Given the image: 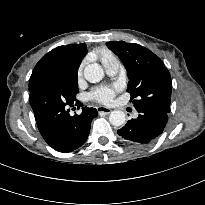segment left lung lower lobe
<instances>
[{
  "mask_svg": "<svg viewBox=\"0 0 205 205\" xmlns=\"http://www.w3.org/2000/svg\"><path fill=\"white\" fill-rule=\"evenodd\" d=\"M136 110L138 118L129 120L117 133L125 143L139 147L150 144L163 132L168 114L149 108Z\"/></svg>",
  "mask_w": 205,
  "mask_h": 205,
  "instance_id": "obj_1",
  "label": "left lung lower lobe"
}]
</instances>
